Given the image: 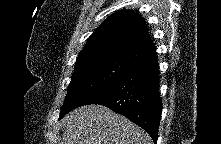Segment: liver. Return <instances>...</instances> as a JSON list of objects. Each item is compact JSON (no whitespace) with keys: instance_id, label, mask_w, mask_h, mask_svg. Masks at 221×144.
Returning <instances> with one entry per match:
<instances>
[{"instance_id":"liver-1","label":"liver","mask_w":221,"mask_h":144,"mask_svg":"<svg viewBox=\"0 0 221 144\" xmlns=\"http://www.w3.org/2000/svg\"><path fill=\"white\" fill-rule=\"evenodd\" d=\"M61 124L62 144H153L143 129L101 105L79 107Z\"/></svg>"}]
</instances>
